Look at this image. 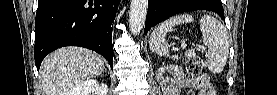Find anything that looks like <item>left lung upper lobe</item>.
<instances>
[{
	"label": "left lung upper lobe",
	"instance_id": "5c2ea615",
	"mask_svg": "<svg viewBox=\"0 0 277 95\" xmlns=\"http://www.w3.org/2000/svg\"><path fill=\"white\" fill-rule=\"evenodd\" d=\"M186 4H194V5H198L201 2H206V0H183Z\"/></svg>",
	"mask_w": 277,
	"mask_h": 95
}]
</instances>
